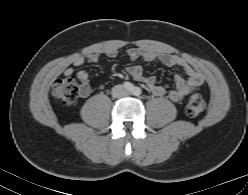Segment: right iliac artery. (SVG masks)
Wrapping results in <instances>:
<instances>
[{"instance_id": "right-iliac-artery-1", "label": "right iliac artery", "mask_w": 248, "mask_h": 195, "mask_svg": "<svg viewBox=\"0 0 248 195\" xmlns=\"http://www.w3.org/2000/svg\"><path fill=\"white\" fill-rule=\"evenodd\" d=\"M123 86L129 91H133L135 89V86L128 81L124 82Z\"/></svg>"}]
</instances>
